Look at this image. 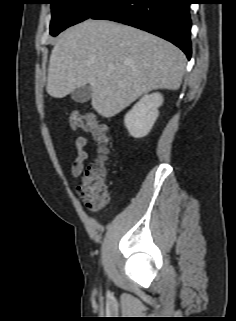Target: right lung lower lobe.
<instances>
[{
    "label": "right lung lower lobe",
    "instance_id": "98d812e1",
    "mask_svg": "<svg viewBox=\"0 0 236 321\" xmlns=\"http://www.w3.org/2000/svg\"><path fill=\"white\" fill-rule=\"evenodd\" d=\"M190 0H110L91 19L127 24L164 38L191 58Z\"/></svg>",
    "mask_w": 236,
    "mask_h": 321
}]
</instances>
